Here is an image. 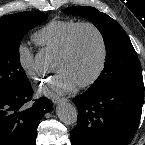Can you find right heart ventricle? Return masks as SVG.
I'll return each instance as SVG.
<instances>
[{
    "mask_svg": "<svg viewBox=\"0 0 145 145\" xmlns=\"http://www.w3.org/2000/svg\"><path fill=\"white\" fill-rule=\"evenodd\" d=\"M80 23L74 19H54L33 35V40L44 49L57 53L63 48L71 31Z\"/></svg>",
    "mask_w": 145,
    "mask_h": 145,
    "instance_id": "right-heart-ventricle-1",
    "label": "right heart ventricle"
}]
</instances>
